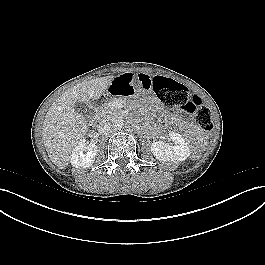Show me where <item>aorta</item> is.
Returning <instances> with one entry per match:
<instances>
[{
    "instance_id": "aorta-1",
    "label": "aorta",
    "mask_w": 265,
    "mask_h": 265,
    "mask_svg": "<svg viewBox=\"0 0 265 265\" xmlns=\"http://www.w3.org/2000/svg\"><path fill=\"white\" fill-rule=\"evenodd\" d=\"M111 120L115 128L120 129L124 126V120H123V117L120 116V114L113 116Z\"/></svg>"
}]
</instances>
